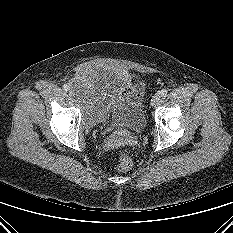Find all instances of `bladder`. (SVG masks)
Here are the masks:
<instances>
[{"instance_id": "bladder-1", "label": "bladder", "mask_w": 233, "mask_h": 233, "mask_svg": "<svg viewBox=\"0 0 233 233\" xmlns=\"http://www.w3.org/2000/svg\"><path fill=\"white\" fill-rule=\"evenodd\" d=\"M71 93L87 126L107 125L140 132L147 124L143 85L121 68L98 63L82 66L71 81Z\"/></svg>"}]
</instances>
